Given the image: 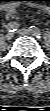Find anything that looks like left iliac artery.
Returning <instances> with one entry per match:
<instances>
[{
    "mask_svg": "<svg viewBox=\"0 0 50 111\" xmlns=\"http://www.w3.org/2000/svg\"><path fill=\"white\" fill-rule=\"evenodd\" d=\"M30 31L32 32V34L33 35H35L37 38H41V32H40V30L37 28V27H35V26H31L30 27Z\"/></svg>",
    "mask_w": 50,
    "mask_h": 111,
    "instance_id": "1",
    "label": "left iliac artery"
}]
</instances>
